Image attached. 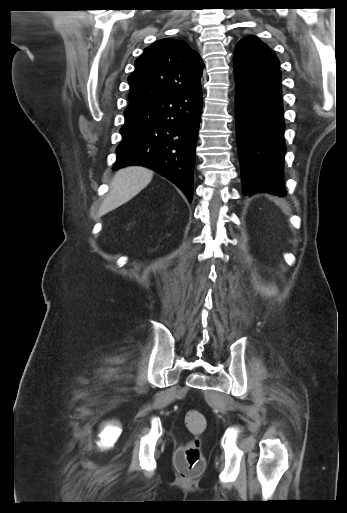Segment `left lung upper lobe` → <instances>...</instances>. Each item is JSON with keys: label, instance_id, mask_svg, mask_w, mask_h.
Here are the masks:
<instances>
[{"label": "left lung upper lobe", "instance_id": "1", "mask_svg": "<svg viewBox=\"0 0 347 513\" xmlns=\"http://www.w3.org/2000/svg\"><path fill=\"white\" fill-rule=\"evenodd\" d=\"M234 59L255 67L279 68V61L270 48L252 35L238 42Z\"/></svg>", "mask_w": 347, "mask_h": 513}]
</instances>
